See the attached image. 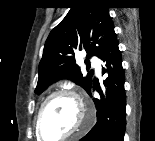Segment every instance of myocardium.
Masks as SVG:
<instances>
[{
    "instance_id": "f54148a6",
    "label": "myocardium",
    "mask_w": 155,
    "mask_h": 141,
    "mask_svg": "<svg viewBox=\"0 0 155 141\" xmlns=\"http://www.w3.org/2000/svg\"><path fill=\"white\" fill-rule=\"evenodd\" d=\"M56 96L70 97L79 106L80 112H81V121H80L79 125L73 131H71V132L67 133L66 135H64L63 137L59 138L60 141L67 140V139L77 135L78 133L86 130L91 125V123L93 121L94 113H93L92 109L87 105L86 101L79 94H77L73 90L66 89V88L57 89L55 91H52L50 94H48L42 100L40 107L38 109V112H37L36 121H35V129H36V134H37L38 138H40L42 140H46L43 137V134L41 131V126H40L42 112H43L46 104L52 98H54ZM87 115H88V118L86 119Z\"/></svg>"
}]
</instances>
